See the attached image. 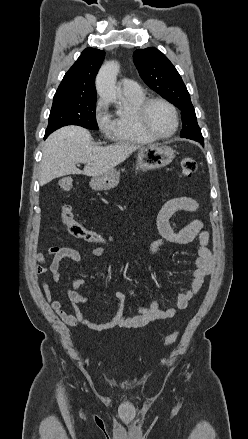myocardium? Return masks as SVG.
I'll use <instances>...</instances> for the list:
<instances>
[{
	"instance_id": "obj_1",
	"label": "myocardium",
	"mask_w": 248,
	"mask_h": 439,
	"mask_svg": "<svg viewBox=\"0 0 248 439\" xmlns=\"http://www.w3.org/2000/svg\"><path fill=\"white\" fill-rule=\"evenodd\" d=\"M156 102H159V103L166 105L170 109V111L173 115L174 127L170 133L165 134V135L156 133L150 127L148 120H147L148 109H149L151 104L156 103ZM136 116H137V120H138V123L141 126V128L148 135H150L151 137H153L155 139H168V138L172 137L177 132L178 127H179V116H178V112H177L176 107L170 101H168L162 97L145 98L138 106L137 111H136Z\"/></svg>"
}]
</instances>
